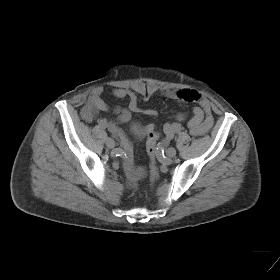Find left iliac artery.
<instances>
[{
  "label": "left iliac artery",
  "mask_w": 280,
  "mask_h": 280,
  "mask_svg": "<svg viewBox=\"0 0 280 280\" xmlns=\"http://www.w3.org/2000/svg\"><path fill=\"white\" fill-rule=\"evenodd\" d=\"M182 130V127L179 123H173L170 127V132H171V135L173 136L174 134H178L180 133Z\"/></svg>",
  "instance_id": "left-iliac-artery-1"
}]
</instances>
